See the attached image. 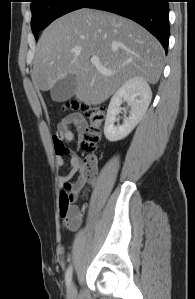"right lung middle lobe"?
<instances>
[{"instance_id":"1","label":"right lung middle lobe","mask_w":195,"mask_h":299,"mask_svg":"<svg viewBox=\"0 0 195 299\" xmlns=\"http://www.w3.org/2000/svg\"><path fill=\"white\" fill-rule=\"evenodd\" d=\"M90 0H32L31 28L35 38L39 31L47 27L58 17L71 11L83 8Z\"/></svg>"}]
</instances>
